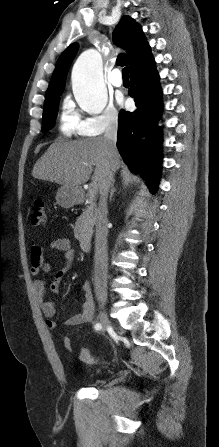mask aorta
Wrapping results in <instances>:
<instances>
[{
  "label": "aorta",
  "instance_id": "762f6f07",
  "mask_svg": "<svg viewBox=\"0 0 219 447\" xmlns=\"http://www.w3.org/2000/svg\"><path fill=\"white\" fill-rule=\"evenodd\" d=\"M71 78L80 108L90 114H100L107 105L108 95L99 52L95 49L84 51L73 66Z\"/></svg>",
  "mask_w": 219,
  "mask_h": 447
}]
</instances>
